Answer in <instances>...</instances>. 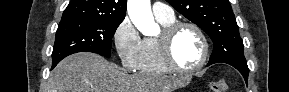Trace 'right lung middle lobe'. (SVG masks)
Segmentation results:
<instances>
[{
    "label": "right lung middle lobe",
    "instance_id": "obj_1",
    "mask_svg": "<svg viewBox=\"0 0 289 92\" xmlns=\"http://www.w3.org/2000/svg\"><path fill=\"white\" fill-rule=\"evenodd\" d=\"M121 21L67 19L56 31L52 65L77 52L98 53L110 57L112 37Z\"/></svg>",
    "mask_w": 289,
    "mask_h": 92
}]
</instances>
